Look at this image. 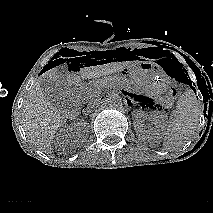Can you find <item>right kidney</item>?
Returning <instances> with one entry per match:
<instances>
[{
    "mask_svg": "<svg viewBox=\"0 0 213 213\" xmlns=\"http://www.w3.org/2000/svg\"><path fill=\"white\" fill-rule=\"evenodd\" d=\"M78 135H81L82 141L88 136L86 123H77L72 126V128Z\"/></svg>",
    "mask_w": 213,
    "mask_h": 213,
    "instance_id": "1",
    "label": "right kidney"
}]
</instances>
